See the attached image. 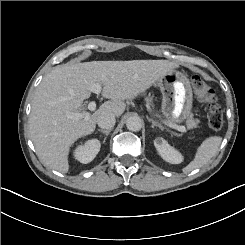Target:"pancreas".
Segmentation results:
<instances>
[{
  "label": "pancreas",
  "instance_id": "pancreas-1",
  "mask_svg": "<svg viewBox=\"0 0 245 245\" xmlns=\"http://www.w3.org/2000/svg\"><path fill=\"white\" fill-rule=\"evenodd\" d=\"M144 100H145V104L147 106H149L153 112L157 113L161 116L160 113H158L157 107L155 106L154 102H153V98L151 95L148 96H144ZM199 124V120L198 119H193L192 115H187L186 121H185V126L187 129H193L196 125Z\"/></svg>",
  "mask_w": 245,
  "mask_h": 245
}]
</instances>
